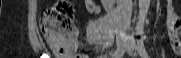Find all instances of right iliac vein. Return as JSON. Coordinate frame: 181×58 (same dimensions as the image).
I'll return each mask as SVG.
<instances>
[{
  "label": "right iliac vein",
  "instance_id": "63e3f726",
  "mask_svg": "<svg viewBox=\"0 0 181 58\" xmlns=\"http://www.w3.org/2000/svg\"><path fill=\"white\" fill-rule=\"evenodd\" d=\"M127 40L124 36H118L116 40L117 49L125 47Z\"/></svg>",
  "mask_w": 181,
  "mask_h": 58
}]
</instances>
